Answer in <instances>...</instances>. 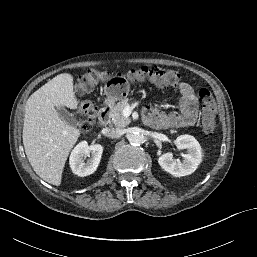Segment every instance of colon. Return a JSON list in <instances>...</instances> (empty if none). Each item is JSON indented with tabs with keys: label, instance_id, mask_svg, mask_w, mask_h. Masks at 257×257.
<instances>
[{
	"label": "colon",
	"instance_id": "obj_1",
	"mask_svg": "<svg viewBox=\"0 0 257 257\" xmlns=\"http://www.w3.org/2000/svg\"><path fill=\"white\" fill-rule=\"evenodd\" d=\"M113 78L114 76L108 72L91 69L75 76V89L78 93H89L100 82ZM126 78L131 83L149 82L156 86H177L181 83L183 76L174 69L142 67L130 70L126 74ZM198 96L202 107V129L207 135H212L216 127V103L214 96L207 88H201ZM79 113L84 117L80 126L81 130H89L96 118L97 108L91 103H83L79 107Z\"/></svg>",
	"mask_w": 257,
	"mask_h": 257
}]
</instances>
